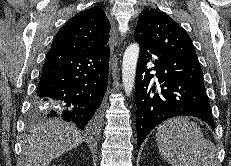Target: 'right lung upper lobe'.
<instances>
[{
	"mask_svg": "<svg viewBox=\"0 0 231 166\" xmlns=\"http://www.w3.org/2000/svg\"><path fill=\"white\" fill-rule=\"evenodd\" d=\"M110 23L100 7L77 13L55 35L51 49L68 52H93L105 48Z\"/></svg>",
	"mask_w": 231,
	"mask_h": 166,
	"instance_id": "right-lung-upper-lobe-1",
	"label": "right lung upper lobe"
}]
</instances>
